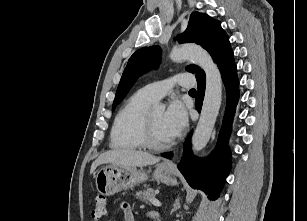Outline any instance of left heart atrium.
Returning a JSON list of instances; mask_svg holds the SVG:
<instances>
[{
  "instance_id": "39dd6f15",
  "label": "left heart atrium",
  "mask_w": 307,
  "mask_h": 221,
  "mask_svg": "<svg viewBox=\"0 0 307 221\" xmlns=\"http://www.w3.org/2000/svg\"><path fill=\"white\" fill-rule=\"evenodd\" d=\"M188 123L187 111L178 100H173L164 113V126L170 139L178 137Z\"/></svg>"
}]
</instances>
